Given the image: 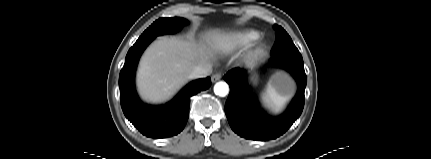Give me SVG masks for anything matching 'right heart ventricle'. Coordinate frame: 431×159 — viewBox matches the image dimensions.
<instances>
[{"label": "right heart ventricle", "instance_id": "1", "mask_svg": "<svg viewBox=\"0 0 431 159\" xmlns=\"http://www.w3.org/2000/svg\"><path fill=\"white\" fill-rule=\"evenodd\" d=\"M259 36V32L255 30L239 31L223 38L219 43V47L225 51L244 47L256 41Z\"/></svg>", "mask_w": 431, "mask_h": 159}]
</instances>
